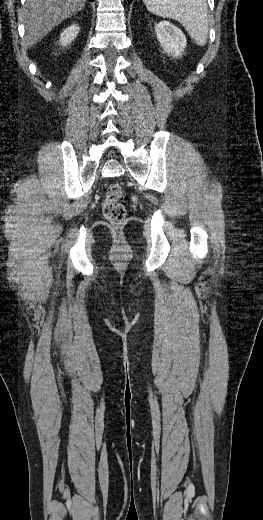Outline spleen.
<instances>
[{
    "label": "spleen",
    "mask_w": 263,
    "mask_h": 520,
    "mask_svg": "<svg viewBox=\"0 0 263 520\" xmlns=\"http://www.w3.org/2000/svg\"><path fill=\"white\" fill-rule=\"evenodd\" d=\"M146 8L158 16L178 21L198 46L208 38V5L206 0H143Z\"/></svg>",
    "instance_id": "spleen-1"
}]
</instances>
